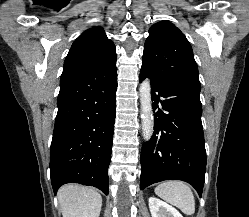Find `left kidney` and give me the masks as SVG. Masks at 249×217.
Wrapping results in <instances>:
<instances>
[{
	"mask_svg": "<svg viewBox=\"0 0 249 217\" xmlns=\"http://www.w3.org/2000/svg\"><path fill=\"white\" fill-rule=\"evenodd\" d=\"M149 208L152 217H183L173 206L156 198H149Z\"/></svg>",
	"mask_w": 249,
	"mask_h": 217,
	"instance_id": "left-kidney-1",
	"label": "left kidney"
}]
</instances>
